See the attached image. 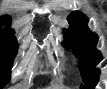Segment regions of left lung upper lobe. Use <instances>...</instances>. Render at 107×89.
Returning <instances> with one entry per match:
<instances>
[{
	"label": "left lung upper lobe",
	"mask_w": 107,
	"mask_h": 89,
	"mask_svg": "<svg viewBox=\"0 0 107 89\" xmlns=\"http://www.w3.org/2000/svg\"><path fill=\"white\" fill-rule=\"evenodd\" d=\"M67 19L70 28L64 30L63 46L72 48L80 61L79 69L84 82L80 88L94 89L100 75L95 66L102 60L101 53L96 49L98 37L88 29V19L82 13L72 12Z\"/></svg>",
	"instance_id": "5c2ea615"
}]
</instances>
